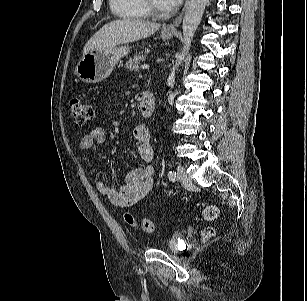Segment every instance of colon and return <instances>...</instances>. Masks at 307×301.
<instances>
[{
	"label": "colon",
	"instance_id": "obj_1",
	"mask_svg": "<svg viewBox=\"0 0 307 301\" xmlns=\"http://www.w3.org/2000/svg\"><path fill=\"white\" fill-rule=\"evenodd\" d=\"M69 109L73 115L74 121L77 125L83 126L93 119L94 108L91 103L85 101L82 98L74 97L69 101ZM218 215V211L214 206H208L203 211L204 218L208 220L215 219ZM125 221L137 228L138 230L150 233L154 229L153 222L149 219H137L131 213H125ZM204 237H211L214 234L213 228H206L202 232Z\"/></svg>",
	"mask_w": 307,
	"mask_h": 301
}]
</instances>
